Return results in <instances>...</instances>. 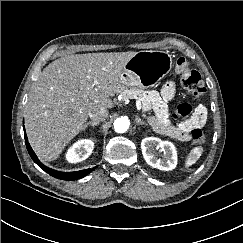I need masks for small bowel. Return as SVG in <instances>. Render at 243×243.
Listing matches in <instances>:
<instances>
[{"label":"small bowel","instance_id":"c3829d8e","mask_svg":"<svg viewBox=\"0 0 243 243\" xmlns=\"http://www.w3.org/2000/svg\"><path fill=\"white\" fill-rule=\"evenodd\" d=\"M175 95V85L173 82H168L163 86L161 91L150 92L146 96V101L155 110V117L152 119V124L156 131L169 137L189 141L190 131L193 128L203 126L207 118V109L204 105H198L191 118L173 125L169 119V112L166 102L170 101Z\"/></svg>","mask_w":243,"mask_h":243}]
</instances>
